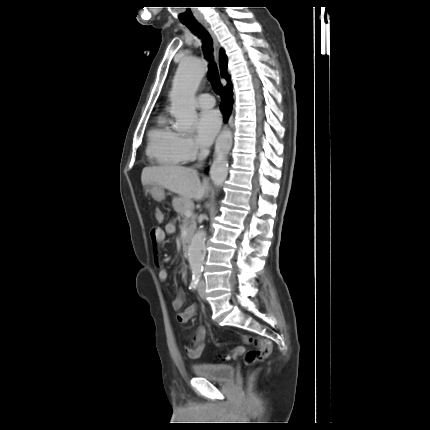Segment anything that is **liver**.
Returning a JSON list of instances; mask_svg holds the SVG:
<instances>
[{
  "instance_id": "6515ba94",
  "label": "liver",
  "mask_w": 430,
  "mask_h": 430,
  "mask_svg": "<svg viewBox=\"0 0 430 430\" xmlns=\"http://www.w3.org/2000/svg\"><path fill=\"white\" fill-rule=\"evenodd\" d=\"M141 182L143 185L156 183L186 200L195 201H201L208 189L207 182H200L196 170L176 165L145 167L142 170Z\"/></svg>"
}]
</instances>
